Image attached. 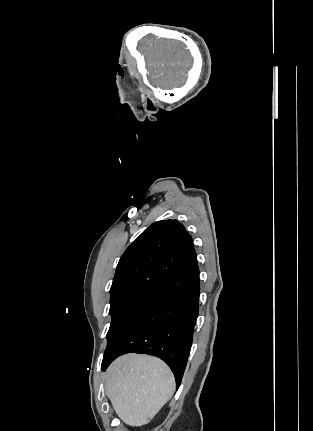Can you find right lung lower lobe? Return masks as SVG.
I'll list each match as a JSON object with an SVG mask.
<instances>
[{
    "label": "right lung lower lobe",
    "instance_id": "right-lung-lower-lobe-1",
    "mask_svg": "<svg viewBox=\"0 0 313 431\" xmlns=\"http://www.w3.org/2000/svg\"><path fill=\"white\" fill-rule=\"evenodd\" d=\"M199 295L194 253L148 294L107 344L102 369L126 353L157 356L171 368L178 389L192 346Z\"/></svg>",
    "mask_w": 313,
    "mask_h": 431
}]
</instances>
